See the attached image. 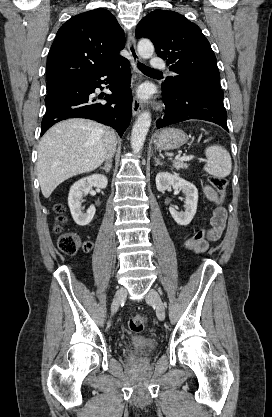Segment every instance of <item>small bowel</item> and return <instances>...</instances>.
<instances>
[{
  "instance_id": "c3829d8e",
  "label": "small bowel",
  "mask_w": 272,
  "mask_h": 417,
  "mask_svg": "<svg viewBox=\"0 0 272 417\" xmlns=\"http://www.w3.org/2000/svg\"><path fill=\"white\" fill-rule=\"evenodd\" d=\"M204 194L210 201L217 200L216 192L210 186L204 187ZM226 217V210L223 207H217L214 210L213 215L210 219L211 227L208 230L207 239L194 249L196 252L205 251L207 249L208 242L216 241L221 237L222 232L225 228Z\"/></svg>"
}]
</instances>
